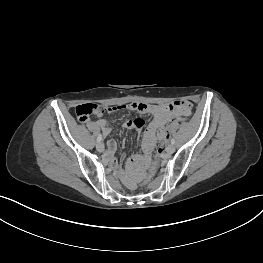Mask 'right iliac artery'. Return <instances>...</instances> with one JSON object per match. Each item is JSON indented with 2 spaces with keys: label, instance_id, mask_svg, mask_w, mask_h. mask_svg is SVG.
Instances as JSON below:
<instances>
[{
  "label": "right iliac artery",
  "instance_id": "right-iliac-artery-1",
  "mask_svg": "<svg viewBox=\"0 0 263 263\" xmlns=\"http://www.w3.org/2000/svg\"><path fill=\"white\" fill-rule=\"evenodd\" d=\"M102 140V135L99 134L98 137H97V142H100Z\"/></svg>",
  "mask_w": 263,
  "mask_h": 263
}]
</instances>
